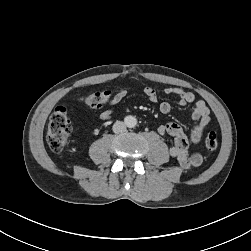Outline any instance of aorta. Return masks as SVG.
<instances>
[{"label": "aorta", "mask_w": 251, "mask_h": 251, "mask_svg": "<svg viewBox=\"0 0 251 251\" xmlns=\"http://www.w3.org/2000/svg\"><path fill=\"white\" fill-rule=\"evenodd\" d=\"M125 124L129 128H133L137 124V119L134 116H127L125 118Z\"/></svg>", "instance_id": "aorta-1"}]
</instances>
